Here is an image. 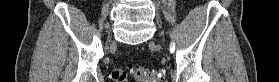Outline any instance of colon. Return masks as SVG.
Masks as SVG:
<instances>
[{"label":"colon","mask_w":279,"mask_h":82,"mask_svg":"<svg viewBox=\"0 0 279 82\" xmlns=\"http://www.w3.org/2000/svg\"><path fill=\"white\" fill-rule=\"evenodd\" d=\"M130 71L139 82H160L164 75L162 69L131 68ZM128 74L127 69L115 68L111 73V78L113 82H126L128 80Z\"/></svg>","instance_id":"1"}]
</instances>
